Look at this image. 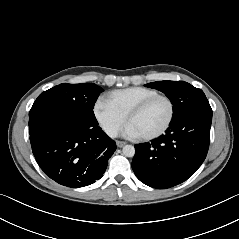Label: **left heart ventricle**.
<instances>
[{
	"instance_id": "1",
	"label": "left heart ventricle",
	"mask_w": 239,
	"mask_h": 239,
	"mask_svg": "<svg viewBox=\"0 0 239 239\" xmlns=\"http://www.w3.org/2000/svg\"><path fill=\"white\" fill-rule=\"evenodd\" d=\"M170 107L165 99H158L150 104L143 112L134 116L129 123L140 136L153 134L167 122Z\"/></svg>"
}]
</instances>
